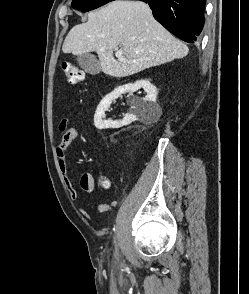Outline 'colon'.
<instances>
[{
  "label": "colon",
  "mask_w": 249,
  "mask_h": 294,
  "mask_svg": "<svg viewBox=\"0 0 249 294\" xmlns=\"http://www.w3.org/2000/svg\"><path fill=\"white\" fill-rule=\"evenodd\" d=\"M59 68L69 83L76 84L83 80V73L75 64L68 61H62ZM98 184L101 187L107 188L110 186L111 182L107 176H100Z\"/></svg>",
  "instance_id": "5ec220e1"
}]
</instances>
